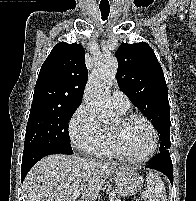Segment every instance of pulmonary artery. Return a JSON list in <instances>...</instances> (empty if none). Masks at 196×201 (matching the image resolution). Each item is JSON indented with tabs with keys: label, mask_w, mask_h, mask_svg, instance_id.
<instances>
[{
	"label": "pulmonary artery",
	"mask_w": 196,
	"mask_h": 201,
	"mask_svg": "<svg viewBox=\"0 0 196 201\" xmlns=\"http://www.w3.org/2000/svg\"><path fill=\"white\" fill-rule=\"evenodd\" d=\"M111 102L113 107L121 113H125L129 110L130 101L128 97L120 90H115L111 96Z\"/></svg>",
	"instance_id": "obj_1"
}]
</instances>
